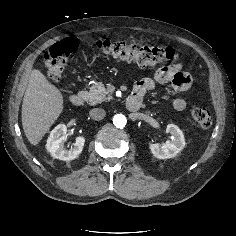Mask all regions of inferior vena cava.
<instances>
[{
  "label": "inferior vena cava",
  "mask_w": 236,
  "mask_h": 236,
  "mask_svg": "<svg viewBox=\"0 0 236 236\" xmlns=\"http://www.w3.org/2000/svg\"><path fill=\"white\" fill-rule=\"evenodd\" d=\"M90 117L93 120H102L106 116V112L102 108H94L89 112Z\"/></svg>",
  "instance_id": "602c4592"
}]
</instances>
